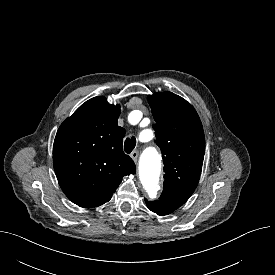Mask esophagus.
<instances>
[{
  "instance_id": "1",
  "label": "esophagus",
  "mask_w": 275,
  "mask_h": 275,
  "mask_svg": "<svg viewBox=\"0 0 275 275\" xmlns=\"http://www.w3.org/2000/svg\"><path fill=\"white\" fill-rule=\"evenodd\" d=\"M131 158L133 159L134 162H137L138 156H139V151L135 150L130 154Z\"/></svg>"
}]
</instances>
